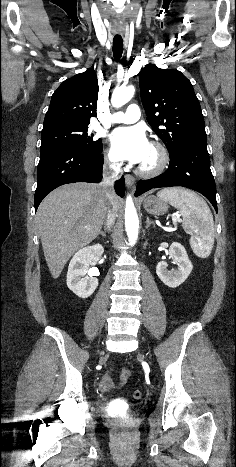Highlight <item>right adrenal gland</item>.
<instances>
[{"label": "right adrenal gland", "instance_id": "1", "mask_svg": "<svg viewBox=\"0 0 236 467\" xmlns=\"http://www.w3.org/2000/svg\"><path fill=\"white\" fill-rule=\"evenodd\" d=\"M99 235H101L102 237H106V233L105 232H100Z\"/></svg>", "mask_w": 236, "mask_h": 467}]
</instances>
